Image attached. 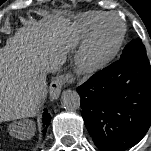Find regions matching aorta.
Returning a JSON list of instances; mask_svg holds the SVG:
<instances>
[{
	"mask_svg": "<svg viewBox=\"0 0 151 151\" xmlns=\"http://www.w3.org/2000/svg\"><path fill=\"white\" fill-rule=\"evenodd\" d=\"M61 105L64 109L73 111L80 107V96L74 90H65L61 95Z\"/></svg>",
	"mask_w": 151,
	"mask_h": 151,
	"instance_id": "762f6f07",
	"label": "aorta"
}]
</instances>
